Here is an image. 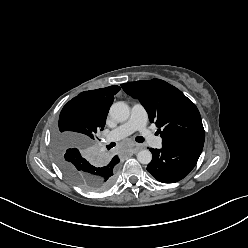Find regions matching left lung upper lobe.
<instances>
[{"label":"left lung upper lobe","mask_w":248,"mask_h":248,"mask_svg":"<svg viewBox=\"0 0 248 248\" xmlns=\"http://www.w3.org/2000/svg\"><path fill=\"white\" fill-rule=\"evenodd\" d=\"M121 87L144 106L150 121L159 128L162 145L205 136L197 107L176 87L160 79L124 83Z\"/></svg>","instance_id":"obj_1"}]
</instances>
